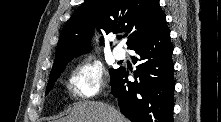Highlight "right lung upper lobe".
I'll use <instances>...</instances> for the list:
<instances>
[{
	"label": "right lung upper lobe",
	"mask_w": 221,
	"mask_h": 122,
	"mask_svg": "<svg viewBox=\"0 0 221 122\" xmlns=\"http://www.w3.org/2000/svg\"><path fill=\"white\" fill-rule=\"evenodd\" d=\"M165 20L159 0H88L63 27L50 74L63 69L75 56L89 51L94 26L107 35L125 32V36L129 35L127 47L130 49ZM100 43H104L103 37Z\"/></svg>",
	"instance_id": "1"
}]
</instances>
